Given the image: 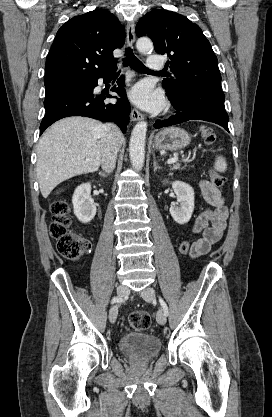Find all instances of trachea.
Segmentation results:
<instances>
[{"instance_id":"trachea-1","label":"trachea","mask_w":272,"mask_h":417,"mask_svg":"<svg viewBox=\"0 0 272 417\" xmlns=\"http://www.w3.org/2000/svg\"><path fill=\"white\" fill-rule=\"evenodd\" d=\"M125 56L126 57L123 59V64L125 66L129 64L132 69L141 73H154L144 66V64L133 54L131 48H126ZM160 73H164V71H161Z\"/></svg>"}]
</instances>
